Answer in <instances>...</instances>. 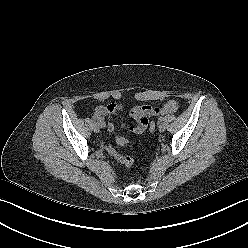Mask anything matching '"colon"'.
<instances>
[{"instance_id": "colon-1", "label": "colon", "mask_w": 248, "mask_h": 248, "mask_svg": "<svg viewBox=\"0 0 248 248\" xmlns=\"http://www.w3.org/2000/svg\"><path fill=\"white\" fill-rule=\"evenodd\" d=\"M148 128L151 132H154L156 130V123L151 121L149 122ZM116 143L119 146H125L127 145L128 141L126 138L122 136H118L116 138ZM108 154L113 157L117 162L121 163L124 165L126 168H130L133 164V159L130 156L127 155H122L120 154L114 147L111 145H108L106 148Z\"/></svg>"}]
</instances>
